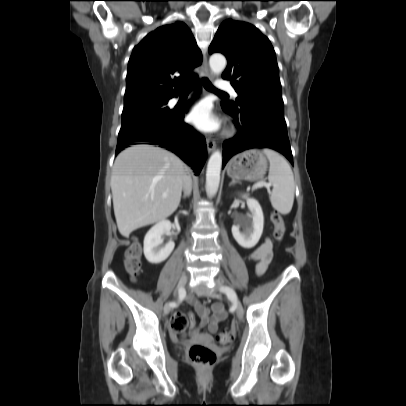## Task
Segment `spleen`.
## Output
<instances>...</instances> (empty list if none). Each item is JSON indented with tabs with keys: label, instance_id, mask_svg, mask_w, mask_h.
Instances as JSON below:
<instances>
[{
	"label": "spleen",
	"instance_id": "3e777b00",
	"mask_svg": "<svg viewBox=\"0 0 406 406\" xmlns=\"http://www.w3.org/2000/svg\"><path fill=\"white\" fill-rule=\"evenodd\" d=\"M263 153L270 163L268 180L273 186L270 202L279 213L288 214L294 202L295 183L293 172L288 162L277 152L264 149Z\"/></svg>",
	"mask_w": 406,
	"mask_h": 406
}]
</instances>
